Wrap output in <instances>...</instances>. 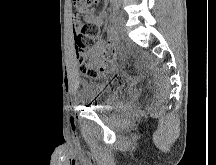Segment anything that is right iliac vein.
<instances>
[{
    "label": "right iliac vein",
    "instance_id": "obj_1",
    "mask_svg": "<svg viewBox=\"0 0 216 165\" xmlns=\"http://www.w3.org/2000/svg\"><path fill=\"white\" fill-rule=\"evenodd\" d=\"M123 24H124V20L122 16L115 14L113 16V25L115 27V32L117 37H121L123 35Z\"/></svg>",
    "mask_w": 216,
    "mask_h": 165
}]
</instances>
